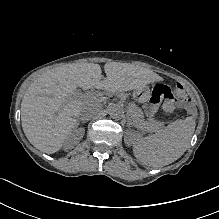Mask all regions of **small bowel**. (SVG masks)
<instances>
[{
  "instance_id": "obj_1",
  "label": "small bowel",
  "mask_w": 219,
  "mask_h": 219,
  "mask_svg": "<svg viewBox=\"0 0 219 219\" xmlns=\"http://www.w3.org/2000/svg\"><path fill=\"white\" fill-rule=\"evenodd\" d=\"M170 97L171 91L169 87L165 85L156 86L153 98L150 104L146 106V114L150 117L153 116L156 113L160 102L164 99H169ZM180 106L187 109L188 111H192V105L190 104V102H180Z\"/></svg>"
}]
</instances>
